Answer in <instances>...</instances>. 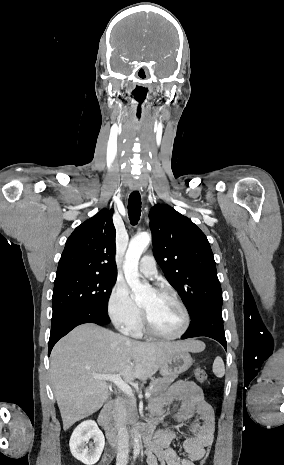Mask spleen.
I'll use <instances>...</instances> for the list:
<instances>
[{"instance_id": "1", "label": "spleen", "mask_w": 284, "mask_h": 465, "mask_svg": "<svg viewBox=\"0 0 284 465\" xmlns=\"http://www.w3.org/2000/svg\"><path fill=\"white\" fill-rule=\"evenodd\" d=\"M213 373L216 375V377H224L225 375V365L221 359V357H216L214 363H213Z\"/></svg>"}]
</instances>
